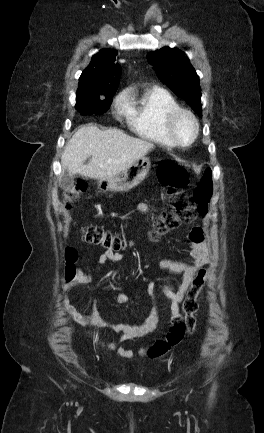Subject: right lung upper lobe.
<instances>
[{"instance_id":"obj_1","label":"right lung upper lobe","mask_w":264,"mask_h":433,"mask_svg":"<svg viewBox=\"0 0 264 433\" xmlns=\"http://www.w3.org/2000/svg\"><path fill=\"white\" fill-rule=\"evenodd\" d=\"M117 53L103 49L92 57L79 79L77 99L97 98L114 94L119 85L121 67L115 62Z\"/></svg>"}]
</instances>
